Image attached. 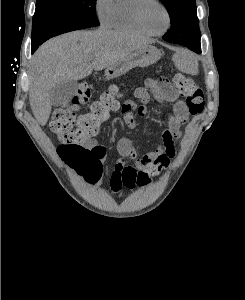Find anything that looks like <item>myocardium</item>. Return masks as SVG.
I'll return each instance as SVG.
<instances>
[{"label": "myocardium", "instance_id": "f54148a6", "mask_svg": "<svg viewBox=\"0 0 245 300\" xmlns=\"http://www.w3.org/2000/svg\"><path fill=\"white\" fill-rule=\"evenodd\" d=\"M149 4H155L157 6H159L165 16H166V25L163 29L159 30V31H154L151 30L146 22H145V17H144V13H145V9ZM135 19L137 24L139 25V27L148 35H153V36H157V35H161L164 32H166L170 26H171V14L168 10V8L166 7V5L160 1V0H138V3L135 7Z\"/></svg>", "mask_w": 245, "mask_h": 300}]
</instances>
